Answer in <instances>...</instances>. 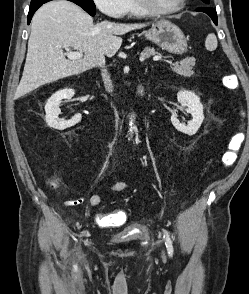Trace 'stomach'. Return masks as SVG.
<instances>
[{
    "label": "stomach",
    "mask_w": 249,
    "mask_h": 294,
    "mask_svg": "<svg viewBox=\"0 0 249 294\" xmlns=\"http://www.w3.org/2000/svg\"><path fill=\"white\" fill-rule=\"evenodd\" d=\"M143 35L164 50L174 54L187 51V39L182 30L167 20H160L143 32Z\"/></svg>",
    "instance_id": "stomach-1"
}]
</instances>
